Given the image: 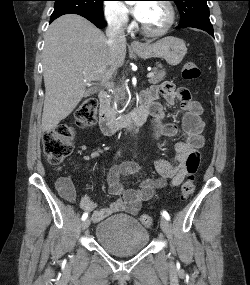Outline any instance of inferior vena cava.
Returning <instances> with one entry per match:
<instances>
[{"mask_svg": "<svg viewBox=\"0 0 250 285\" xmlns=\"http://www.w3.org/2000/svg\"><path fill=\"white\" fill-rule=\"evenodd\" d=\"M106 36L107 44L112 50H115L119 44L126 43L125 21L119 17H113L108 23Z\"/></svg>", "mask_w": 250, "mask_h": 285, "instance_id": "1", "label": "inferior vena cava"}]
</instances>
